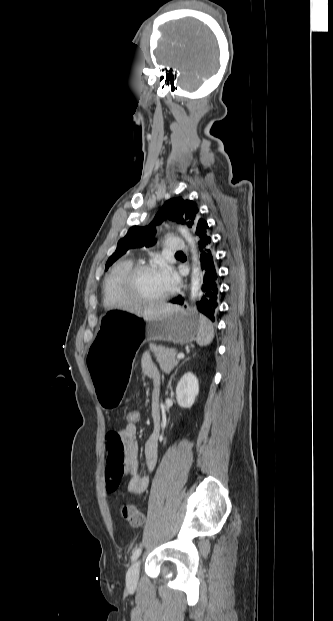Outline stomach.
<instances>
[{
    "instance_id": "1",
    "label": "stomach",
    "mask_w": 333,
    "mask_h": 621,
    "mask_svg": "<svg viewBox=\"0 0 333 621\" xmlns=\"http://www.w3.org/2000/svg\"><path fill=\"white\" fill-rule=\"evenodd\" d=\"M198 328L197 314L189 315L179 306L151 320L124 311L105 312L97 336L88 346L90 378L102 409L107 413L119 409V400L129 385L134 355L143 343L187 344L195 339Z\"/></svg>"
}]
</instances>
